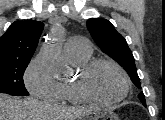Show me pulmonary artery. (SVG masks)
<instances>
[{
  "mask_svg": "<svg viewBox=\"0 0 165 120\" xmlns=\"http://www.w3.org/2000/svg\"><path fill=\"white\" fill-rule=\"evenodd\" d=\"M65 52L70 55H87L91 53V46L85 38L75 36L66 42Z\"/></svg>",
  "mask_w": 165,
  "mask_h": 120,
  "instance_id": "e3ab8cb5",
  "label": "pulmonary artery"
}]
</instances>
